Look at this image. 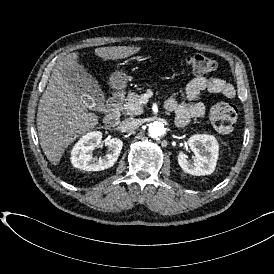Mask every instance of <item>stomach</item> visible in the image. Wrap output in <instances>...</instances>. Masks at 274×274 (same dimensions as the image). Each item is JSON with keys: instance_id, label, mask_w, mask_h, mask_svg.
I'll list each match as a JSON object with an SVG mask.
<instances>
[{"instance_id": "obj_1", "label": "stomach", "mask_w": 274, "mask_h": 274, "mask_svg": "<svg viewBox=\"0 0 274 274\" xmlns=\"http://www.w3.org/2000/svg\"><path fill=\"white\" fill-rule=\"evenodd\" d=\"M128 83L127 77L119 70L113 72L109 78V85L116 91L123 92Z\"/></svg>"}]
</instances>
